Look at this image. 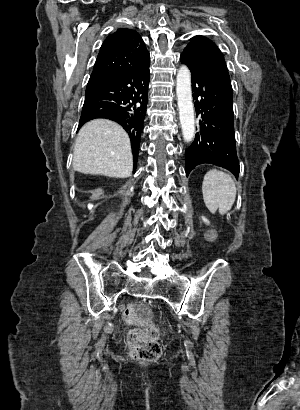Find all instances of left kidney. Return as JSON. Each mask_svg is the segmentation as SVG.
<instances>
[{
	"instance_id": "5707ae66",
	"label": "left kidney",
	"mask_w": 300,
	"mask_h": 410,
	"mask_svg": "<svg viewBox=\"0 0 300 410\" xmlns=\"http://www.w3.org/2000/svg\"><path fill=\"white\" fill-rule=\"evenodd\" d=\"M202 220H203L206 224H209V221H208L205 217H202Z\"/></svg>"
}]
</instances>
